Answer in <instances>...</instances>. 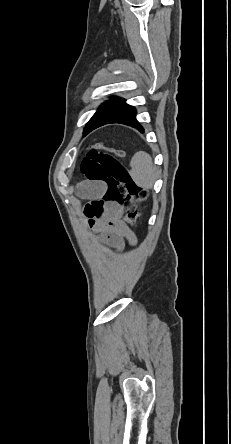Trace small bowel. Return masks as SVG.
Returning <instances> with one entry per match:
<instances>
[{
	"label": "small bowel",
	"mask_w": 231,
	"mask_h": 444,
	"mask_svg": "<svg viewBox=\"0 0 231 444\" xmlns=\"http://www.w3.org/2000/svg\"><path fill=\"white\" fill-rule=\"evenodd\" d=\"M104 185L101 182H83L79 186V193L82 197L89 199L91 205L95 202H102ZM123 209L114 202H103L102 213L96 220V229L101 232L106 240L116 248H122L124 239L135 243V237L122 221Z\"/></svg>",
	"instance_id": "obj_1"
}]
</instances>
